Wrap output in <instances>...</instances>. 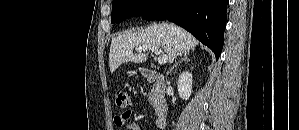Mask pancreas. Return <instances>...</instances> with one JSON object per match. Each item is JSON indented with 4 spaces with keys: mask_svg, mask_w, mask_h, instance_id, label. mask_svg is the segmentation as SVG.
<instances>
[{
    "mask_svg": "<svg viewBox=\"0 0 299 130\" xmlns=\"http://www.w3.org/2000/svg\"><path fill=\"white\" fill-rule=\"evenodd\" d=\"M148 100H149V102H151V104L153 103V100H154L153 92L148 94Z\"/></svg>",
    "mask_w": 299,
    "mask_h": 130,
    "instance_id": "pancreas-1",
    "label": "pancreas"
}]
</instances>
